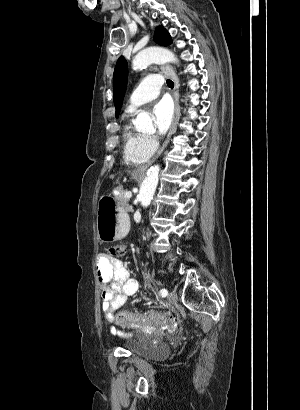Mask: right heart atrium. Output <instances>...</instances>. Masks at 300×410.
Masks as SVG:
<instances>
[{
	"mask_svg": "<svg viewBox=\"0 0 300 410\" xmlns=\"http://www.w3.org/2000/svg\"><path fill=\"white\" fill-rule=\"evenodd\" d=\"M144 145L149 151L152 152L157 147V142L151 136H144Z\"/></svg>",
	"mask_w": 300,
	"mask_h": 410,
	"instance_id": "right-heart-atrium-1",
	"label": "right heart atrium"
}]
</instances>
